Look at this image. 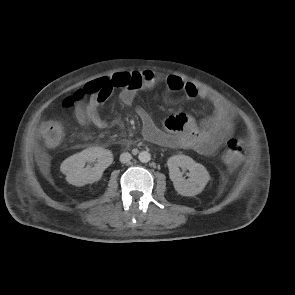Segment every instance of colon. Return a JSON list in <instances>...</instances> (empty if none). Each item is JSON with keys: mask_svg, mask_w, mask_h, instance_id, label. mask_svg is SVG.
Masks as SVG:
<instances>
[{"mask_svg": "<svg viewBox=\"0 0 295 295\" xmlns=\"http://www.w3.org/2000/svg\"><path fill=\"white\" fill-rule=\"evenodd\" d=\"M140 80L137 75L132 73H117L111 77L104 78L98 81L93 90H100L102 92H111L113 89H124L128 87H134L139 85ZM90 88H80L75 93L65 99V106L71 107L88 98L91 94ZM41 137L44 143L49 147H55L59 145L63 138V129L61 125L56 121L44 122L40 127ZM245 148L242 141L238 138L232 137L226 142L225 160L231 165L238 164L244 157Z\"/></svg>", "mask_w": 295, "mask_h": 295, "instance_id": "1", "label": "colon"}]
</instances>
